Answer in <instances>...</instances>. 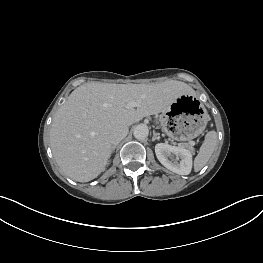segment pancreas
Masks as SVG:
<instances>
[{
	"label": "pancreas",
	"instance_id": "pancreas-1",
	"mask_svg": "<svg viewBox=\"0 0 263 263\" xmlns=\"http://www.w3.org/2000/svg\"><path fill=\"white\" fill-rule=\"evenodd\" d=\"M191 152H194L195 151V149H194V147L193 146H191V145H185Z\"/></svg>",
	"mask_w": 263,
	"mask_h": 263
}]
</instances>
